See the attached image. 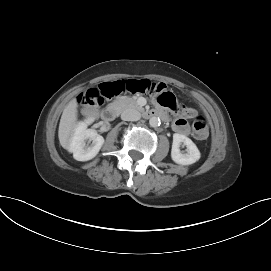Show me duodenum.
Listing matches in <instances>:
<instances>
[{
	"label": "duodenum",
	"mask_w": 271,
	"mask_h": 271,
	"mask_svg": "<svg viewBox=\"0 0 271 271\" xmlns=\"http://www.w3.org/2000/svg\"><path fill=\"white\" fill-rule=\"evenodd\" d=\"M118 114V109L116 106H109L107 108H105L102 112H101V119L104 121V122H110V121H113L116 116ZM88 115L89 116H95L96 113L95 111H89L88 112ZM144 117L146 118H151V117H160L162 118L163 120H166L167 119V116L166 114L164 113V111L162 110H151V111H146L144 112Z\"/></svg>",
	"instance_id": "obj_1"
}]
</instances>
